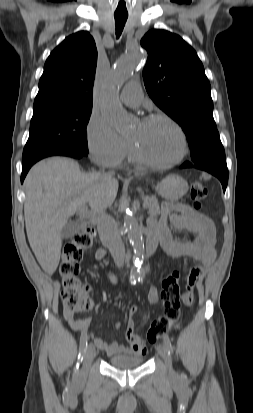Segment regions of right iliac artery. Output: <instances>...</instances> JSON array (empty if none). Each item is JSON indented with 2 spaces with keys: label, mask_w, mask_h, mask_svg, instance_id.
<instances>
[{
  "label": "right iliac artery",
  "mask_w": 253,
  "mask_h": 413,
  "mask_svg": "<svg viewBox=\"0 0 253 413\" xmlns=\"http://www.w3.org/2000/svg\"><path fill=\"white\" fill-rule=\"evenodd\" d=\"M87 343H88V336L87 334L82 335L80 339V348H79V354H78V362L76 364V367L74 368V375L78 374V369L80 362L83 360L86 348H87Z\"/></svg>",
  "instance_id": "1"
}]
</instances>
